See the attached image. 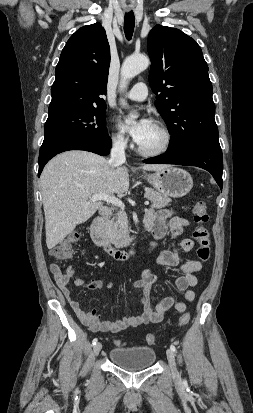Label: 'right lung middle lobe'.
<instances>
[{"label": "right lung middle lobe", "instance_id": "1", "mask_svg": "<svg viewBox=\"0 0 253 413\" xmlns=\"http://www.w3.org/2000/svg\"><path fill=\"white\" fill-rule=\"evenodd\" d=\"M105 109L106 106L71 109L49 115L45 123L43 144L60 139H92L107 135Z\"/></svg>", "mask_w": 253, "mask_h": 413}]
</instances>
